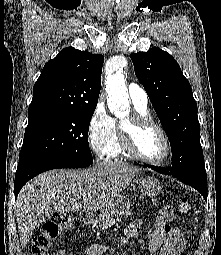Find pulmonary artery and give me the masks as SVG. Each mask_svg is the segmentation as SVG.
<instances>
[{"mask_svg": "<svg viewBox=\"0 0 221 255\" xmlns=\"http://www.w3.org/2000/svg\"><path fill=\"white\" fill-rule=\"evenodd\" d=\"M128 93L130 98L135 105L142 107H147L148 105V95L146 91L136 83H130L128 85Z\"/></svg>", "mask_w": 221, "mask_h": 255, "instance_id": "obj_1", "label": "pulmonary artery"}]
</instances>
